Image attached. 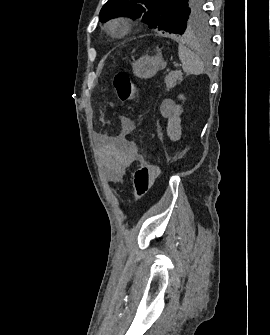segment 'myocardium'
Here are the masks:
<instances>
[{"instance_id": "1", "label": "myocardium", "mask_w": 270, "mask_h": 335, "mask_svg": "<svg viewBox=\"0 0 270 335\" xmlns=\"http://www.w3.org/2000/svg\"><path fill=\"white\" fill-rule=\"evenodd\" d=\"M130 23L124 18H114L106 26V32L113 37H121L130 30Z\"/></svg>"}]
</instances>
